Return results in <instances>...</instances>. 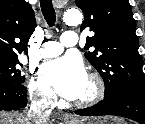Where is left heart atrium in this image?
I'll return each mask as SVG.
<instances>
[{"label":"left heart atrium","instance_id":"obj_1","mask_svg":"<svg viewBox=\"0 0 145 124\" xmlns=\"http://www.w3.org/2000/svg\"><path fill=\"white\" fill-rule=\"evenodd\" d=\"M41 78L46 85L69 100L78 98L87 81L83 64L76 56H65L45 63L41 67Z\"/></svg>","mask_w":145,"mask_h":124}]
</instances>
